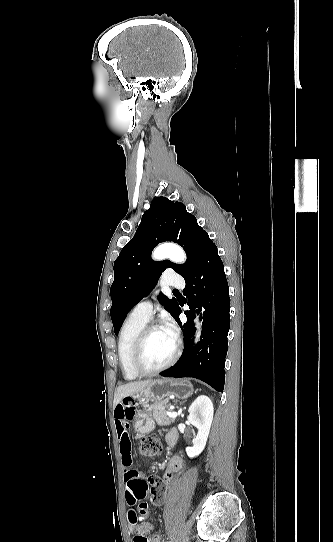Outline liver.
Listing matches in <instances>:
<instances>
[{"label":"liver","mask_w":333,"mask_h":542,"mask_svg":"<svg viewBox=\"0 0 333 542\" xmlns=\"http://www.w3.org/2000/svg\"><path fill=\"white\" fill-rule=\"evenodd\" d=\"M152 380H144V382H129V384H124V386H119L114 394L113 408H116L119 402H122L123 398L127 396H134V394H139L142 390H145Z\"/></svg>","instance_id":"liver-1"}]
</instances>
